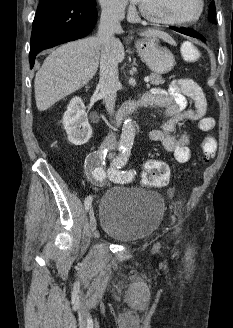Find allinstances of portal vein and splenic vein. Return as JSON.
<instances>
[{
  "mask_svg": "<svg viewBox=\"0 0 233 328\" xmlns=\"http://www.w3.org/2000/svg\"><path fill=\"white\" fill-rule=\"evenodd\" d=\"M144 81H145L146 83H148V82L150 81L149 77H145V78H144Z\"/></svg>",
  "mask_w": 233,
  "mask_h": 328,
  "instance_id": "18ae733b",
  "label": "portal vein and splenic vein"
}]
</instances>
